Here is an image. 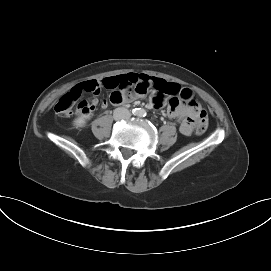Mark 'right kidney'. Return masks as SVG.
Segmentation results:
<instances>
[{
	"instance_id": "1",
	"label": "right kidney",
	"mask_w": 271,
	"mask_h": 271,
	"mask_svg": "<svg viewBox=\"0 0 271 271\" xmlns=\"http://www.w3.org/2000/svg\"><path fill=\"white\" fill-rule=\"evenodd\" d=\"M91 117L90 114L83 115L81 117H78L77 119L74 120V125L77 127H82L85 125L86 120Z\"/></svg>"
}]
</instances>
